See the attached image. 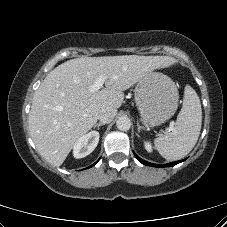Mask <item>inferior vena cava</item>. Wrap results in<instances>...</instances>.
Returning a JSON list of instances; mask_svg holds the SVG:
<instances>
[{
  "label": "inferior vena cava",
  "instance_id": "obj_1",
  "mask_svg": "<svg viewBox=\"0 0 227 227\" xmlns=\"http://www.w3.org/2000/svg\"><path fill=\"white\" fill-rule=\"evenodd\" d=\"M117 110L113 109L111 107L103 108L100 110L98 119L100 120L101 123H110L113 118L116 116Z\"/></svg>",
  "mask_w": 227,
  "mask_h": 227
}]
</instances>
